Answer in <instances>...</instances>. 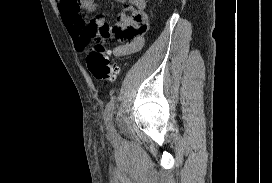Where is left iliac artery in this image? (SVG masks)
<instances>
[{
  "instance_id": "44dca946",
  "label": "left iliac artery",
  "mask_w": 272,
  "mask_h": 183,
  "mask_svg": "<svg viewBox=\"0 0 272 183\" xmlns=\"http://www.w3.org/2000/svg\"><path fill=\"white\" fill-rule=\"evenodd\" d=\"M114 108H115V100L111 99L105 108L104 111V119L106 121V123L110 126L112 124V118H113V114H114Z\"/></svg>"
}]
</instances>
